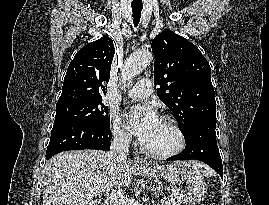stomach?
<instances>
[{
    "label": "stomach",
    "mask_w": 269,
    "mask_h": 205,
    "mask_svg": "<svg viewBox=\"0 0 269 205\" xmlns=\"http://www.w3.org/2000/svg\"><path fill=\"white\" fill-rule=\"evenodd\" d=\"M140 169L148 176L164 178L170 184L171 193L179 205H192L206 196L207 189L202 175L183 164L173 163L166 167L146 164Z\"/></svg>",
    "instance_id": "obj_1"
}]
</instances>
